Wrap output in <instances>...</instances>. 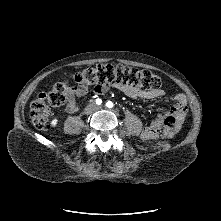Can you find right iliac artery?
<instances>
[{"instance_id":"right-iliac-artery-1","label":"right iliac artery","mask_w":221,"mask_h":221,"mask_svg":"<svg viewBox=\"0 0 221 221\" xmlns=\"http://www.w3.org/2000/svg\"><path fill=\"white\" fill-rule=\"evenodd\" d=\"M102 103V100L101 99H96V104L100 105Z\"/></svg>"}]
</instances>
